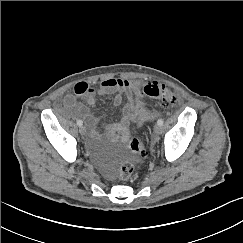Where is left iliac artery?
Instances as JSON below:
<instances>
[{"label":"left iliac artery","instance_id":"obj_1","mask_svg":"<svg viewBox=\"0 0 243 243\" xmlns=\"http://www.w3.org/2000/svg\"><path fill=\"white\" fill-rule=\"evenodd\" d=\"M163 123H164V121H163V119H162V118H160V119L157 121V124H158V125H160V126H162V125H163Z\"/></svg>","mask_w":243,"mask_h":243}]
</instances>
